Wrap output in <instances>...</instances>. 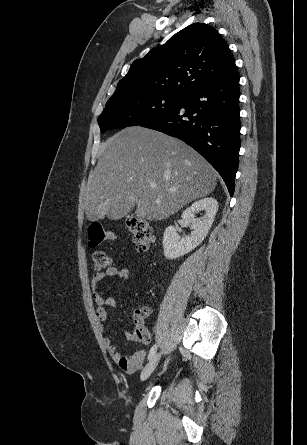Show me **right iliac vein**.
<instances>
[{"label": "right iliac vein", "instance_id": "right-iliac-vein-1", "mask_svg": "<svg viewBox=\"0 0 307 445\" xmlns=\"http://www.w3.org/2000/svg\"><path fill=\"white\" fill-rule=\"evenodd\" d=\"M160 359V354H155L141 372V380L145 381L155 370Z\"/></svg>", "mask_w": 307, "mask_h": 445}]
</instances>
